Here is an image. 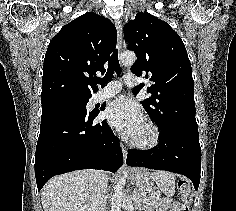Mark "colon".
<instances>
[{"mask_svg":"<svg viewBox=\"0 0 236 211\" xmlns=\"http://www.w3.org/2000/svg\"><path fill=\"white\" fill-rule=\"evenodd\" d=\"M178 189L181 193L182 200L185 204L184 207L182 208V211H190L188 206L192 200L190 184L187 181H179Z\"/></svg>","mask_w":236,"mask_h":211,"instance_id":"obj_1","label":"colon"}]
</instances>
